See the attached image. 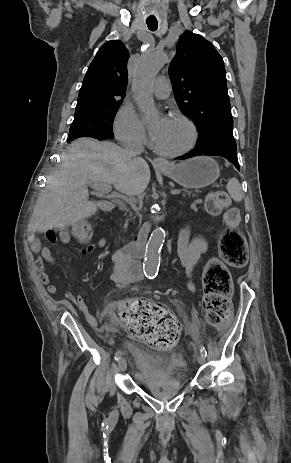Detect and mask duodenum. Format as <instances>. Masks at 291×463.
Here are the masks:
<instances>
[{"label": "duodenum", "mask_w": 291, "mask_h": 463, "mask_svg": "<svg viewBox=\"0 0 291 463\" xmlns=\"http://www.w3.org/2000/svg\"><path fill=\"white\" fill-rule=\"evenodd\" d=\"M104 210L106 212H111V213L115 212V209L113 208V205L111 203H106L104 205ZM149 228H150V225L143 226L141 230L136 234V236L129 243H127L125 246L120 248V250L125 251L128 255H130L137 261L138 259H141L144 254V245L146 242L147 235L149 233Z\"/></svg>", "instance_id": "1"}]
</instances>
